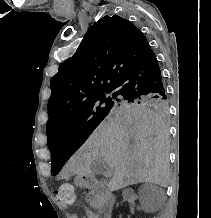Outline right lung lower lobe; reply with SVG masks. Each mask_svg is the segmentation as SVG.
Instances as JSON below:
<instances>
[{"label": "right lung lower lobe", "instance_id": "obj_1", "mask_svg": "<svg viewBox=\"0 0 211 218\" xmlns=\"http://www.w3.org/2000/svg\"><path fill=\"white\" fill-rule=\"evenodd\" d=\"M115 95L125 98L166 97L161 71L153 51L134 64L113 86Z\"/></svg>", "mask_w": 211, "mask_h": 218}]
</instances>
